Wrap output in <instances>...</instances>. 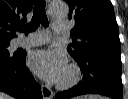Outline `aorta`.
<instances>
[{
    "instance_id": "aorta-1",
    "label": "aorta",
    "mask_w": 128,
    "mask_h": 99,
    "mask_svg": "<svg viewBox=\"0 0 128 99\" xmlns=\"http://www.w3.org/2000/svg\"><path fill=\"white\" fill-rule=\"evenodd\" d=\"M50 13L55 18H64L68 15L69 7L63 0H53L50 4Z\"/></svg>"
}]
</instances>
